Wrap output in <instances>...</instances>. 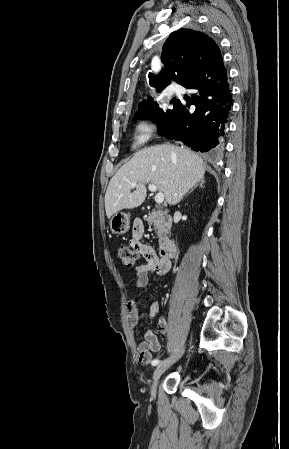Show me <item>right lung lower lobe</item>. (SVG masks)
<instances>
[{
	"label": "right lung lower lobe",
	"mask_w": 289,
	"mask_h": 449,
	"mask_svg": "<svg viewBox=\"0 0 289 449\" xmlns=\"http://www.w3.org/2000/svg\"><path fill=\"white\" fill-rule=\"evenodd\" d=\"M184 87L193 90L186 99L189 103L176 100L172 118L160 134L182 141L195 151L215 154L223 148L233 104L224 64L209 78ZM191 105H195L193 113L189 112Z\"/></svg>",
	"instance_id": "1"
}]
</instances>
